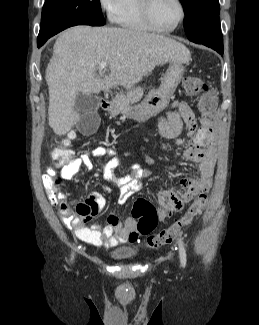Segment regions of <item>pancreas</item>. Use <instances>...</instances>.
<instances>
[{
  "label": "pancreas",
  "instance_id": "cf45deb5",
  "mask_svg": "<svg viewBox=\"0 0 259 325\" xmlns=\"http://www.w3.org/2000/svg\"><path fill=\"white\" fill-rule=\"evenodd\" d=\"M144 89L139 87L128 88L126 93L117 94L113 103L129 105L138 102L144 95Z\"/></svg>",
  "mask_w": 259,
  "mask_h": 325
}]
</instances>
